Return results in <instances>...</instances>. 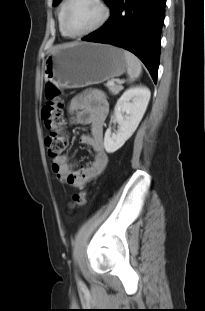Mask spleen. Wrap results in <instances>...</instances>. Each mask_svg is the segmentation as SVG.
I'll return each mask as SVG.
<instances>
[{
  "instance_id": "spleen-1",
  "label": "spleen",
  "mask_w": 205,
  "mask_h": 311,
  "mask_svg": "<svg viewBox=\"0 0 205 311\" xmlns=\"http://www.w3.org/2000/svg\"><path fill=\"white\" fill-rule=\"evenodd\" d=\"M124 55L127 62V74L129 76V80L134 81L142 72L141 62L133 53L129 51H124Z\"/></svg>"
}]
</instances>
